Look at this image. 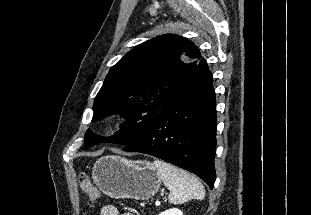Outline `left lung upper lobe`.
<instances>
[{"label":"left lung upper lobe","mask_w":311,"mask_h":215,"mask_svg":"<svg viewBox=\"0 0 311 215\" xmlns=\"http://www.w3.org/2000/svg\"><path fill=\"white\" fill-rule=\"evenodd\" d=\"M201 53L184 37L165 34L129 51L109 71L94 101L92 121L120 114L127 122L116 135L100 137L90 129L85 148L101 142L128 145L193 75Z\"/></svg>","instance_id":"left-lung-upper-lobe-1"}]
</instances>
